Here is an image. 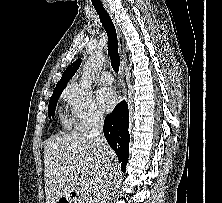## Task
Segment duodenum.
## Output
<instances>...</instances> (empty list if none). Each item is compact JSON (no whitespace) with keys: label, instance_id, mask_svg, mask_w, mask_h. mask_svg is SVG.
<instances>
[{"label":"duodenum","instance_id":"410a0bca","mask_svg":"<svg viewBox=\"0 0 222 203\" xmlns=\"http://www.w3.org/2000/svg\"><path fill=\"white\" fill-rule=\"evenodd\" d=\"M82 199V192L79 189H72L63 203H77Z\"/></svg>","mask_w":222,"mask_h":203}]
</instances>
